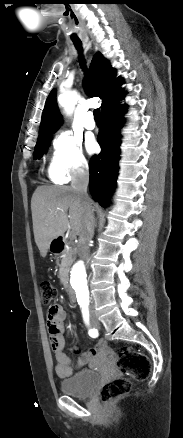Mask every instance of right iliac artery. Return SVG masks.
Wrapping results in <instances>:
<instances>
[{"mask_svg": "<svg viewBox=\"0 0 183 438\" xmlns=\"http://www.w3.org/2000/svg\"><path fill=\"white\" fill-rule=\"evenodd\" d=\"M82 314H83L84 322L86 323V325H89V311H88V309H82ZM88 334L92 338H96L98 336V330L95 328H90L88 331Z\"/></svg>", "mask_w": 183, "mask_h": 438, "instance_id": "1", "label": "right iliac artery"}]
</instances>
